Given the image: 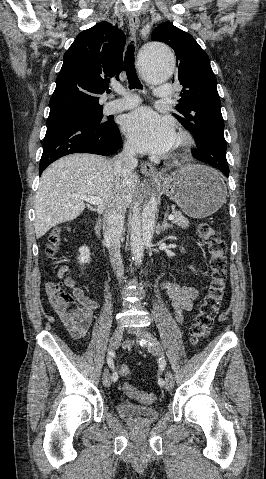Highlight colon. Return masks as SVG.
<instances>
[{
  "instance_id": "1",
  "label": "colon",
  "mask_w": 266,
  "mask_h": 479,
  "mask_svg": "<svg viewBox=\"0 0 266 479\" xmlns=\"http://www.w3.org/2000/svg\"><path fill=\"white\" fill-rule=\"evenodd\" d=\"M197 234L209 255L210 282L190 326V340L194 345L199 344L207 336L223 300L227 280L225 241L219 232L205 221L198 224ZM60 242V230L55 229L49 236L46 250L49 256H55L58 253ZM120 374L124 377L128 376L130 374L129 367L122 366ZM122 389L127 395L143 404H152L156 399L154 393L138 390L128 383H125Z\"/></svg>"
}]
</instances>
